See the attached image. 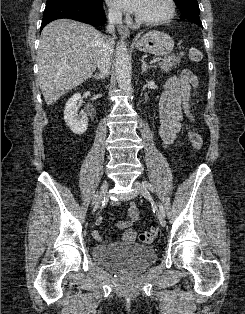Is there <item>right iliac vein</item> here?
I'll list each match as a JSON object with an SVG mask.
<instances>
[{"mask_svg":"<svg viewBox=\"0 0 245 314\" xmlns=\"http://www.w3.org/2000/svg\"><path fill=\"white\" fill-rule=\"evenodd\" d=\"M108 194V182L105 180L101 186L98 197L95 201L94 210L98 209L102 201L106 198Z\"/></svg>","mask_w":245,"mask_h":314,"instance_id":"right-iliac-vein-1","label":"right iliac vein"}]
</instances>
